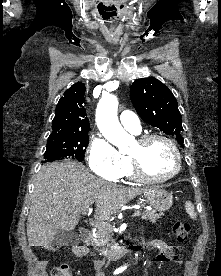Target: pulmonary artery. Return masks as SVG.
<instances>
[{
	"label": "pulmonary artery",
	"instance_id": "pulmonary-artery-1",
	"mask_svg": "<svg viewBox=\"0 0 221 276\" xmlns=\"http://www.w3.org/2000/svg\"><path fill=\"white\" fill-rule=\"evenodd\" d=\"M122 126L131 133L138 134L141 131V124L138 116L131 111H123L120 115Z\"/></svg>",
	"mask_w": 221,
	"mask_h": 276
}]
</instances>
